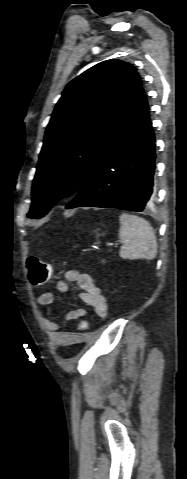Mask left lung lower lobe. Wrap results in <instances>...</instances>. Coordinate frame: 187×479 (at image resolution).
Returning <instances> with one entry per match:
<instances>
[{
	"label": "left lung lower lobe",
	"mask_w": 187,
	"mask_h": 479,
	"mask_svg": "<svg viewBox=\"0 0 187 479\" xmlns=\"http://www.w3.org/2000/svg\"><path fill=\"white\" fill-rule=\"evenodd\" d=\"M155 157V136L141 86L117 140L66 208L143 211L154 195Z\"/></svg>",
	"instance_id": "left-lung-lower-lobe-1"
}]
</instances>
